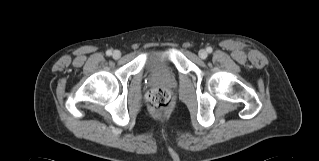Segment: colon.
I'll return each instance as SVG.
<instances>
[{
  "label": "colon",
  "mask_w": 319,
  "mask_h": 161,
  "mask_svg": "<svg viewBox=\"0 0 319 161\" xmlns=\"http://www.w3.org/2000/svg\"><path fill=\"white\" fill-rule=\"evenodd\" d=\"M147 106L154 114H162L172 110L173 99L171 92L163 87L150 90L146 95Z\"/></svg>",
  "instance_id": "1"
}]
</instances>
